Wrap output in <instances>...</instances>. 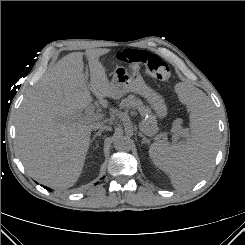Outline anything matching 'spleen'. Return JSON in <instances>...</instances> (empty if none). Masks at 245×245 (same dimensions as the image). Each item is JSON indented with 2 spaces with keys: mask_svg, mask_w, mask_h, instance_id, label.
<instances>
[{
  "mask_svg": "<svg viewBox=\"0 0 245 245\" xmlns=\"http://www.w3.org/2000/svg\"><path fill=\"white\" fill-rule=\"evenodd\" d=\"M181 100L190 110V134L185 142H154L149 148L153 163L166 172L177 190L200 181L210 170L217 150V120L210 99L198 88L183 84Z\"/></svg>",
  "mask_w": 245,
  "mask_h": 245,
  "instance_id": "spleen-1",
  "label": "spleen"
}]
</instances>
